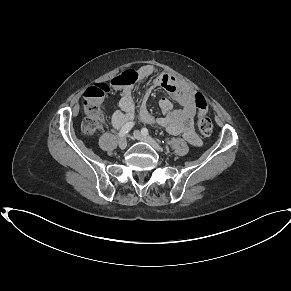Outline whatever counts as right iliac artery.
<instances>
[{"instance_id": "82829eb1", "label": "right iliac artery", "mask_w": 291, "mask_h": 291, "mask_svg": "<svg viewBox=\"0 0 291 291\" xmlns=\"http://www.w3.org/2000/svg\"><path fill=\"white\" fill-rule=\"evenodd\" d=\"M134 126V122H127L119 131L118 136L123 138Z\"/></svg>"}]
</instances>
